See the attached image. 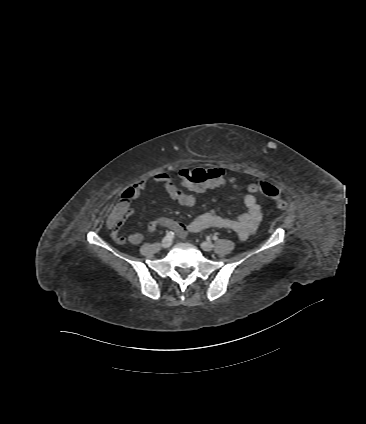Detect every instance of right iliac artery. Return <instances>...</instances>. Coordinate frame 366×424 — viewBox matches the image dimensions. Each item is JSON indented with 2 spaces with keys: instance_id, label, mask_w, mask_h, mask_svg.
Wrapping results in <instances>:
<instances>
[{
  "instance_id": "right-iliac-artery-1",
  "label": "right iliac artery",
  "mask_w": 366,
  "mask_h": 424,
  "mask_svg": "<svg viewBox=\"0 0 366 424\" xmlns=\"http://www.w3.org/2000/svg\"><path fill=\"white\" fill-rule=\"evenodd\" d=\"M167 237L173 238L174 237V233L172 231L167 232Z\"/></svg>"
}]
</instances>
